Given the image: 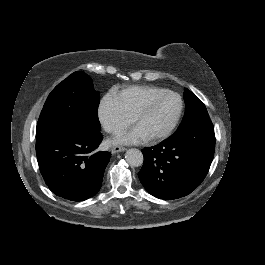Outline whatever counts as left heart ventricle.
<instances>
[{"label":"left heart ventricle","instance_id":"b2bd125f","mask_svg":"<svg viewBox=\"0 0 265 265\" xmlns=\"http://www.w3.org/2000/svg\"><path fill=\"white\" fill-rule=\"evenodd\" d=\"M179 106L180 102L176 96L159 94L137 119V127L147 136H151L175 118Z\"/></svg>","mask_w":265,"mask_h":265}]
</instances>
